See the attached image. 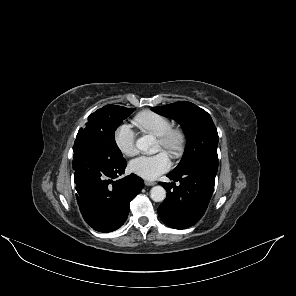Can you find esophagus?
<instances>
[{
  "label": "esophagus",
  "instance_id": "esophagus-1",
  "mask_svg": "<svg viewBox=\"0 0 296 296\" xmlns=\"http://www.w3.org/2000/svg\"><path fill=\"white\" fill-rule=\"evenodd\" d=\"M156 183L154 181H148V180H145V185L146 186H153L155 185Z\"/></svg>",
  "mask_w": 296,
  "mask_h": 296
}]
</instances>
